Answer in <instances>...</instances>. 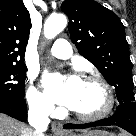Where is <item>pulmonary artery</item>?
Returning a JSON list of instances; mask_svg holds the SVG:
<instances>
[{
	"label": "pulmonary artery",
	"instance_id": "obj_1",
	"mask_svg": "<svg viewBox=\"0 0 136 136\" xmlns=\"http://www.w3.org/2000/svg\"><path fill=\"white\" fill-rule=\"evenodd\" d=\"M50 53L61 59H67L72 55L70 43L65 39H57L50 49Z\"/></svg>",
	"mask_w": 136,
	"mask_h": 136
}]
</instances>
